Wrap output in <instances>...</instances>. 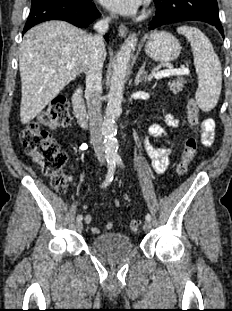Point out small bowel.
Returning <instances> with one entry per match:
<instances>
[{
  "label": "small bowel",
  "instance_id": "c3829d8e",
  "mask_svg": "<svg viewBox=\"0 0 232 311\" xmlns=\"http://www.w3.org/2000/svg\"><path fill=\"white\" fill-rule=\"evenodd\" d=\"M165 123L171 128H177L180 125L179 120L171 114L165 116ZM201 142L204 146H211L214 143V130L215 122L212 119H205L201 123ZM148 134L159 140H163L166 145L162 147L155 148L151 146L147 141L143 142V147L149 157L151 158L152 168L156 173L164 172L170 162V156L175 147V138L162 126L158 124H152L148 128ZM119 203L115 202V206ZM86 223H90L92 218L90 215L84 217ZM113 226V222H108L106 224V229H110ZM91 231L93 234L101 233V229L98 227H92Z\"/></svg>",
  "mask_w": 232,
  "mask_h": 311
}]
</instances>
